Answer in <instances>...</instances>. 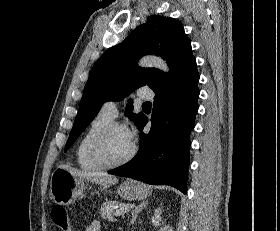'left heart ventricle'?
I'll use <instances>...</instances> for the list:
<instances>
[{
  "label": "left heart ventricle",
  "mask_w": 280,
  "mask_h": 231,
  "mask_svg": "<svg viewBox=\"0 0 280 231\" xmlns=\"http://www.w3.org/2000/svg\"><path fill=\"white\" fill-rule=\"evenodd\" d=\"M130 148L131 145L125 139L124 129L115 128L105 138L101 155L108 161H117L123 158Z\"/></svg>",
  "instance_id": "left-heart-ventricle-1"
}]
</instances>
